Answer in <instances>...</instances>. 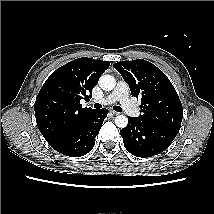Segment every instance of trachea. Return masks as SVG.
<instances>
[{"instance_id": "trachea-1", "label": "trachea", "mask_w": 214, "mask_h": 214, "mask_svg": "<svg viewBox=\"0 0 214 214\" xmlns=\"http://www.w3.org/2000/svg\"><path fill=\"white\" fill-rule=\"evenodd\" d=\"M93 106H94V108H96V109L102 108V105L99 104V103H95ZM113 109H114L115 111H117V112H121V111H122V108H121L120 106H113Z\"/></svg>"}]
</instances>
